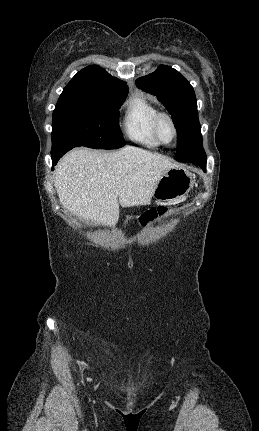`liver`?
<instances>
[{
	"label": "liver",
	"mask_w": 259,
	"mask_h": 431,
	"mask_svg": "<svg viewBox=\"0 0 259 431\" xmlns=\"http://www.w3.org/2000/svg\"><path fill=\"white\" fill-rule=\"evenodd\" d=\"M174 167L178 165L170 159L138 147L110 153L79 148L59 161L54 186L61 205L72 214L114 227L119 203L149 205L159 180Z\"/></svg>",
	"instance_id": "liver-1"
}]
</instances>
